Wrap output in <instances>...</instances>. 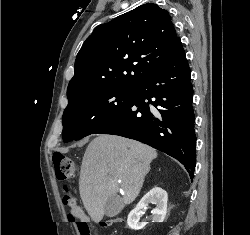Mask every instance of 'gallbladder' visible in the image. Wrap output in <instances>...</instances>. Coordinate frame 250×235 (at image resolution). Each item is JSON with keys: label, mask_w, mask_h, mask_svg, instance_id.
<instances>
[{"label": "gallbladder", "mask_w": 250, "mask_h": 235, "mask_svg": "<svg viewBox=\"0 0 250 235\" xmlns=\"http://www.w3.org/2000/svg\"><path fill=\"white\" fill-rule=\"evenodd\" d=\"M123 209V203L118 197L111 196L105 204V215L108 217L117 216Z\"/></svg>", "instance_id": "gallbladder-1"}]
</instances>
